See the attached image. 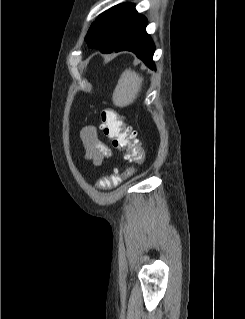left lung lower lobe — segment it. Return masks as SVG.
<instances>
[{"mask_svg": "<svg viewBox=\"0 0 245 319\" xmlns=\"http://www.w3.org/2000/svg\"><path fill=\"white\" fill-rule=\"evenodd\" d=\"M146 25L147 19L136 13L112 46L98 49L103 53L123 50L132 51L138 58L143 60L149 68L155 69L152 60L155 46L150 36L146 33Z\"/></svg>", "mask_w": 245, "mask_h": 319, "instance_id": "left-lung-lower-lobe-1", "label": "left lung lower lobe"}]
</instances>
